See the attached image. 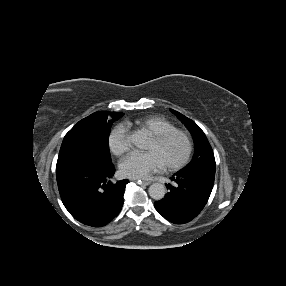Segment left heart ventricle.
<instances>
[{"instance_id":"left-heart-ventricle-1","label":"left heart ventricle","mask_w":286,"mask_h":286,"mask_svg":"<svg viewBox=\"0 0 286 286\" xmlns=\"http://www.w3.org/2000/svg\"><path fill=\"white\" fill-rule=\"evenodd\" d=\"M188 149L186 137L182 134L173 135L168 140L157 143L151 138L145 147L146 151H152L157 156L162 166H168L181 160Z\"/></svg>"}]
</instances>
